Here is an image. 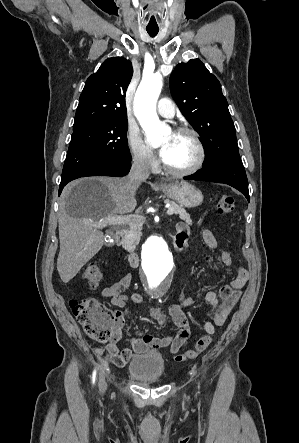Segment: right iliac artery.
I'll return each instance as SVG.
<instances>
[{
    "label": "right iliac artery",
    "instance_id": "82829eb1",
    "mask_svg": "<svg viewBox=\"0 0 299 443\" xmlns=\"http://www.w3.org/2000/svg\"><path fill=\"white\" fill-rule=\"evenodd\" d=\"M96 370L93 371L92 382H95Z\"/></svg>",
    "mask_w": 299,
    "mask_h": 443
}]
</instances>
